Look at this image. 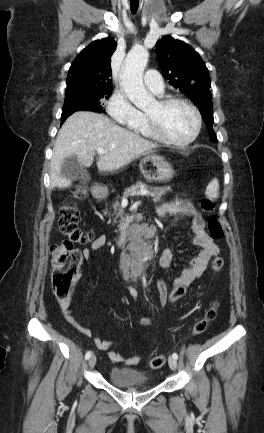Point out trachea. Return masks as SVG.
<instances>
[{"instance_id": "trachea-1", "label": "trachea", "mask_w": 264, "mask_h": 433, "mask_svg": "<svg viewBox=\"0 0 264 433\" xmlns=\"http://www.w3.org/2000/svg\"><path fill=\"white\" fill-rule=\"evenodd\" d=\"M139 7V0H130V9L133 14H135Z\"/></svg>"}]
</instances>
